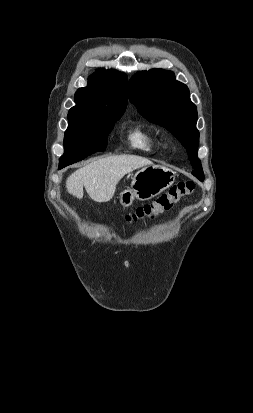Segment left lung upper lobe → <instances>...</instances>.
Returning a JSON list of instances; mask_svg holds the SVG:
<instances>
[{
    "mask_svg": "<svg viewBox=\"0 0 253 413\" xmlns=\"http://www.w3.org/2000/svg\"><path fill=\"white\" fill-rule=\"evenodd\" d=\"M129 98L147 120L168 129L186 148L192 174L204 180L197 157L199 132L197 108L190 100L188 87L175 80L174 73L152 69L136 73L129 81Z\"/></svg>",
    "mask_w": 253,
    "mask_h": 413,
    "instance_id": "5c2ea615",
    "label": "left lung upper lobe"
}]
</instances>
